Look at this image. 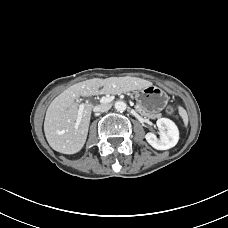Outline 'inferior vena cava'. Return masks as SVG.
Returning <instances> with one entry per match:
<instances>
[{"label": "inferior vena cava", "instance_id": "1", "mask_svg": "<svg viewBox=\"0 0 228 228\" xmlns=\"http://www.w3.org/2000/svg\"><path fill=\"white\" fill-rule=\"evenodd\" d=\"M111 108V105L109 104H100V105H96L93 108L94 112H105L108 111Z\"/></svg>", "mask_w": 228, "mask_h": 228}]
</instances>
